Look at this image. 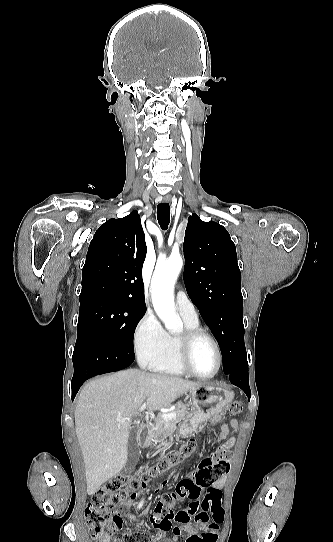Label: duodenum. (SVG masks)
<instances>
[{
    "mask_svg": "<svg viewBox=\"0 0 333 542\" xmlns=\"http://www.w3.org/2000/svg\"><path fill=\"white\" fill-rule=\"evenodd\" d=\"M139 445L141 447H146L148 445V438L144 433H141L139 436Z\"/></svg>",
    "mask_w": 333,
    "mask_h": 542,
    "instance_id": "410a0bca",
    "label": "duodenum"
}]
</instances>
